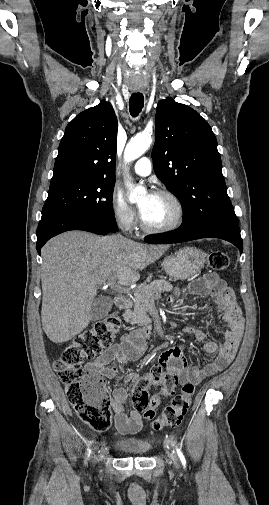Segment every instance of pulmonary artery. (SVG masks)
<instances>
[{
  "mask_svg": "<svg viewBox=\"0 0 269 505\" xmlns=\"http://www.w3.org/2000/svg\"><path fill=\"white\" fill-rule=\"evenodd\" d=\"M152 164L149 158L142 157L134 165L133 171L135 174L145 177L151 173Z\"/></svg>",
  "mask_w": 269,
  "mask_h": 505,
  "instance_id": "pulmonary-artery-1",
  "label": "pulmonary artery"
}]
</instances>
